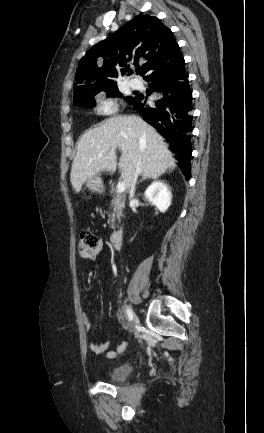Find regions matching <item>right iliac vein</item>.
<instances>
[{
    "mask_svg": "<svg viewBox=\"0 0 264 433\" xmlns=\"http://www.w3.org/2000/svg\"><path fill=\"white\" fill-rule=\"evenodd\" d=\"M133 321H134V323L138 322V318H137L136 314H134V313H133Z\"/></svg>",
    "mask_w": 264,
    "mask_h": 433,
    "instance_id": "1",
    "label": "right iliac vein"
}]
</instances>
